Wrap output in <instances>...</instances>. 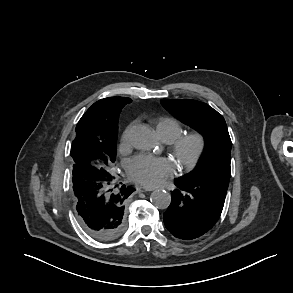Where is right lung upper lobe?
<instances>
[{
    "instance_id": "right-lung-upper-lobe-1",
    "label": "right lung upper lobe",
    "mask_w": 293,
    "mask_h": 293,
    "mask_svg": "<svg viewBox=\"0 0 293 293\" xmlns=\"http://www.w3.org/2000/svg\"><path fill=\"white\" fill-rule=\"evenodd\" d=\"M131 102L126 97H110L94 103L79 120L76 132L89 136L98 142H106L117 135V123L122 108ZM76 151L73 157L78 165L96 166L94 158L87 152ZM74 164V165H75Z\"/></svg>"
}]
</instances>
